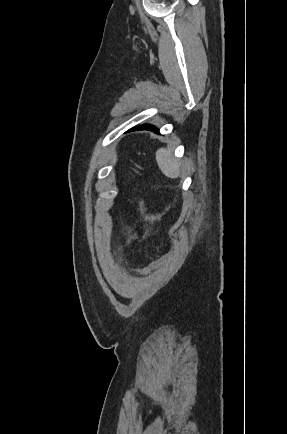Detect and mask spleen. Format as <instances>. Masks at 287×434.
Instances as JSON below:
<instances>
[{"instance_id": "obj_1", "label": "spleen", "mask_w": 287, "mask_h": 434, "mask_svg": "<svg viewBox=\"0 0 287 434\" xmlns=\"http://www.w3.org/2000/svg\"><path fill=\"white\" fill-rule=\"evenodd\" d=\"M156 161L161 172L172 179L178 178L181 173V164L173 157L172 151L160 148L156 151Z\"/></svg>"}]
</instances>
